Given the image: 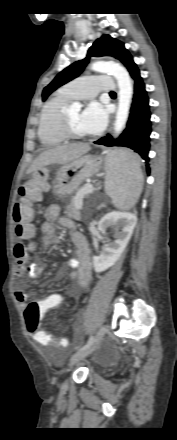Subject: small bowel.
<instances>
[{"label": "small bowel", "mask_w": 177, "mask_h": 440, "mask_svg": "<svg viewBox=\"0 0 177 440\" xmlns=\"http://www.w3.org/2000/svg\"><path fill=\"white\" fill-rule=\"evenodd\" d=\"M60 208L58 205L52 204L46 207L44 211V217L47 220L40 226L41 233V246L43 248L50 247L59 243L60 238L55 231V227L49 221L57 220L58 224L62 227H66L71 231V239L76 248V258L69 260L68 264L74 270L69 273V279L73 283H76L77 288L85 289L90 284L91 279V262H90V248L86 238L79 232L74 231V224L65 218H59ZM35 231L32 228V234ZM24 248L20 244H17L14 248V257L18 265L17 275L19 278L24 276L36 277L40 275L44 268L37 264L27 263V253L21 255ZM76 289L72 292L75 293ZM15 298L22 308H27L28 293L24 289H17L15 291ZM45 298H64L62 294H50ZM51 348V346H48Z\"/></svg>", "instance_id": "small-bowel-1"}]
</instances>
